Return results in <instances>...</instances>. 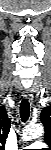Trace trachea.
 <instances>
[{
    "mask_svg": "<svg viewBox=\"0 0 51 150\" xmlns=\"http://www.w3.org/2000/svg\"><path fill=\"white\" fill-rule=\"evenodd\" d=\"M30 115V105L28 99H23L20 103V117L22 122H26Z\"/></svg>",
    "mask_w": 51,
    "mask_h": 150,
    "instance_id": "3493384b",
    "label": "trachea"
}]
</instances>
